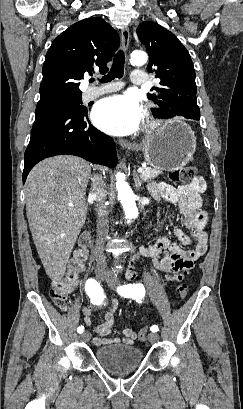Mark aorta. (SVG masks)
<instances>
[{
  "label": "aorta",
  "mask_w": 243,
  "mask_h": 409,
  "mask_svg": "<svg viewBox=\"0 0 243 409\" xmlns=\"http://www.w3.org/2000/svg\"><path fill=\"white\" fill-rule=\"evenodd\" d=\"M131 61L133 64L141 66L147 62V54L142 51H134L131 54ZM116 180L118 198L120 199V202L124 209L127 222L130 223L132 222V220L136 219L139 214L135 202V195L128 183L125 182L124 175L122 173H117Z\"/></svg>",
  "instance_id": "aorta-1"
}]
</instances>
